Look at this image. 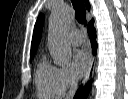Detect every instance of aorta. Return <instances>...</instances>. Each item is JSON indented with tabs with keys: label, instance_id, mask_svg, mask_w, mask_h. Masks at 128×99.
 Instances as JSON below:
<instances>
[{
	"label": "aorta",
	"instance_id": "aorta-1",
	"mask_svg": "<svg viewBox=\"0 0 128 99\" xmlns=\"http://www.w3.org/2000/svg\"><path fill=\"white\" fill-rule=\"evenodd\" d=\"M73 19L72 11L67 6L52 10L49 22V48L54 63L66 66L71 62L72 51L66 39V28Z\"/></svg>",
	"mask_w": 128,
	"mask_h": 99
}]
</instances>
